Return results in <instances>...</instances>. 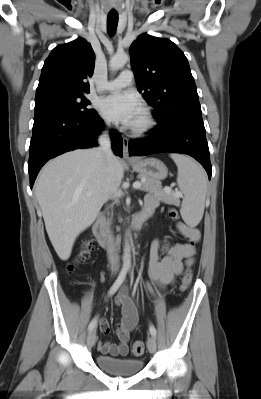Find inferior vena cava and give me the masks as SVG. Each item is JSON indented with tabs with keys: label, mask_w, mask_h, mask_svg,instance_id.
<instances>
[{
	"label": "inferior vena cava",
	"mask_w": 261,
	"mask_h": 399,
	"mask_svg": "<svg viewBox=\"0 0 261 399\" xmlns=\"http://www.w3.org/2000/svg\"><path fill=\"white\" fill-rule=\"evenodd\" d=\"M99 143V153L107 160L110 161L111 158L113 157V152L111 149V141L110 137L108 134V131H104L102 135H100L98 139ZM116 247L117 243L115 242L113 236L110 234L108 237V248H107V254H108V259L109 263L111 265V269L113 272H116L119 268L118 264V258L116 255Z\"/></svg>",
	"instance_id": "1"
}]
</instances>
